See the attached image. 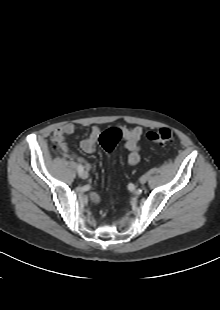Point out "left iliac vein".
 <instances>
[{"label":"left iliac vein","mask_w":220,"mask_h":310,"mask_svg":"<svg viewBox=\"0 0 220 310\" xmlns=\"http://www.w3.org/2000/svg\"><path fill=\"white\" fill-rule=\"evenodd\" d=\"M146 180H147V179H146V177H144V176H143V177H141V178H140V183H142V184H143V183H145V182H146Z\"/></svg>","instance_id":"left-iliac-vein-1"}]
</instances>
